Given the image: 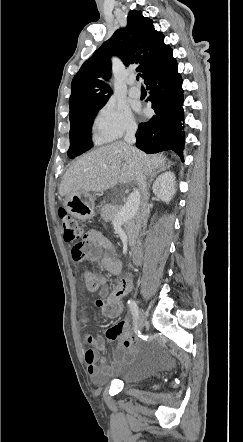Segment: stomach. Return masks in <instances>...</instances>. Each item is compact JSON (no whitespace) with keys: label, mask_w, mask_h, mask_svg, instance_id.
I'll use <instances>...</instances> for the list:
<instances>
[{"label":"stomach","mask_w":243,"mask_h":442,"mask_svg":"<svg viewBox=\"0 0 243 442\" xmlns=\"http://www.w3.org/2000/svg\"><path fill=\"white\" fill-rule=\"evenodd\" d=\"M67 212L80 220L91 219L94 216V198L89 192L72 193L64 199Z\"/></svg>","instance_id":"1"}]
</instances>
